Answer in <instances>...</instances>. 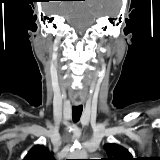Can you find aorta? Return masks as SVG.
Instances as JSON below:
<instances>
[{
    "instance_id": "762f6f07",
    "label": "aorta",
    "mask_w": 160,
    "mask_h": 160,
    "mask_svg": "<svg viewBox=\"0 0 160 160\" xmlns=\"http://www.w3.org/2000/svg\"><path fill=\"white\" fill-rule=\"evenodd\" d=\"M70 159H87V152L81 148H74L70 153Z\"/></svg>"
}]
</instances>
